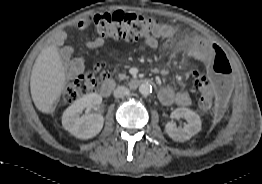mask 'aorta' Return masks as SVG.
Listing matches in <instances>:
<instances>
[{
  "label": "aorta",
  "instance_id": "obj_1",
  "mask_svg": "<svg viewBox=\"0 0 262 184\" xmlns=\"http://www.w3.org/2000/svg\"><path fill=\"white\" fill-rule=\"evenodd\" d=\"M139 92L142 95L147 96V95H149L152 92V86L150 84H148V83H142L139 86Z\"/></svg>",
  "mask_w": 262,
  "mask_h": 184
}]
</instances>
